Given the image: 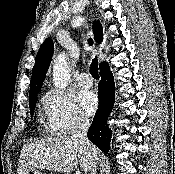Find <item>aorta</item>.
<instances>
[{"label":"aorta","instance_id":"obj_1","mask_svg":"<svg viewBox=\"0 0 175 174\" xmlns=\"http://www.w3.org/2000/svg\"><path fill=\"white\" fill-rule=\"evenodd\" d=\"M53 82L58 88L64 89L70 81V73L67 64V54L61 53L53 64Z\"/></svg>","mask_w":175,"mask_h":174}]
</instances>
